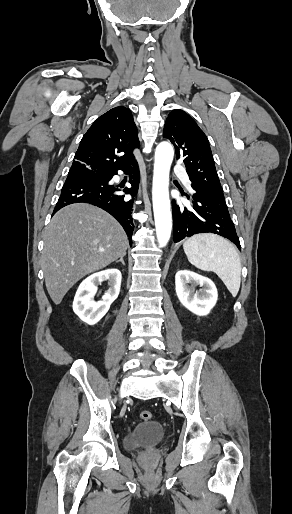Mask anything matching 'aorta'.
<instances>
[{"mask_svg":"<svg viewBox=\"0 0 292 514\" xmlns=\"http://www.w3.org/2000/svg\"><path fill=\"white\" fill-rule=\"evenodd\" d=\"M173 156V146L169 142L158 144L155 152L152 200L157 240L161 248L168 244L172 230L168 186Z\"/></svg>","mask_w":292,"mask_h":514,"instance_id":"762f6f07","label":"aorta"}]
</instances>
